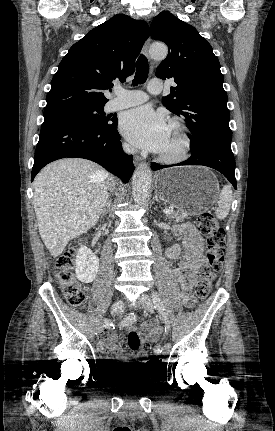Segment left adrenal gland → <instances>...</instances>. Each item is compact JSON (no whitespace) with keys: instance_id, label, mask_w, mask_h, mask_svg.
I'll list each match as a JSON object with an SVG mask.
<instances>
[{"instance_id":"obj_1","label":"left adrenal gland","mask_w":275,"mask_h":431,"mask_svg":"<svg viewBox=\"0 0 275 431\" xmlns=\"http://www.w3.org/2000/svg\"><path fill=\"white\" fill-rule=\"evenodd\" d=\"M154 201L158 202L159 204L161 203L160 200L158 199V196L155 195V197L153 198Z\"/></svg>"}]
</instances>
